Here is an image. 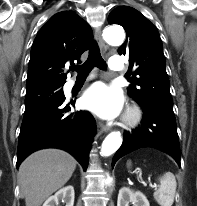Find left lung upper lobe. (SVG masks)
Returning <instances> with one entry per match:
<instances>
[{
  "label": "left lung upper lobe",
  "mask_w": 197,
  "mask_h": 206,
  "mask_svg": "<svg viewBox=\"0 0 197 206\" xmlns=\"http://www.w3.org/2000/svg\"><path fill=\"white\" fill-rule=\"evenodd\" d=\"M108 22L119 24L126 31V42L119 47L118 53L129 56L128 70L133 72L129 95L141 103L173 108L162 41L153 23L128 6L115 8Z\"/></svg>",
  "instance_id": "5c2ea615"
}]
</instances>
